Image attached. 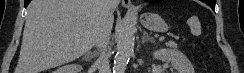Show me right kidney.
Returning a JSON list of instances; mask_svg holds the SVG:
<instances>
[{
	"instance_id": "1",
	"label": "right kidney",
	"mask_w": 244,
	"mask_h": 73,
	"mask_svg": "<svg viewBox=\"0 0 244 73\" xmlns=\"http://www.w3.org/2000/svg\"><path fill=\"white\" fill-rule=\"evenodd\" d=\"M82 67L77 64L65 65L58 68L54 73H80Z\"/></svg>"
}]
</instances>
